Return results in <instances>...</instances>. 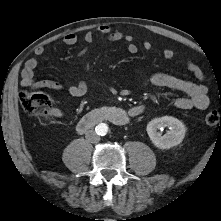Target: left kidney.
Here are the masks:
<instances>
[{
	"instance_id": "obj_1",
	"label": "left kidney",
	"mask_w": 221,
	"mask_h": 221,
	"mask_svg": "<svg viewBox=\"0 0 221 221\" xmlns=\"http://www.w3.org/2000/svg\"><path fill=\"white\" fill-rule=\"evenodd\" d=\"M168 127L170 130L165 135H161L158 129ZM147 133L152 143L160 149H170L179 145L186 133L185 125L172 116L155 118L147 124Z\"/></svg>"
}]
</instances>
